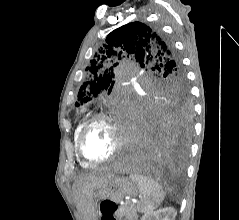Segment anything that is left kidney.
<instances>
[{"mask_svg":"<svg viewBox=\"0 0 239 220\" xmlns=\"http://www.w3.org/2000/svg\"><path fill=\"white\" fill-rule=\"evenodd\" d=\"M176 215L177 212L173 207H166L145 213L141 220H175Z\"/></svg>","mask_w":239,"mask_h":220,"instance_id":"left-kidney-1","label":"left kidney"}]
</instances>
